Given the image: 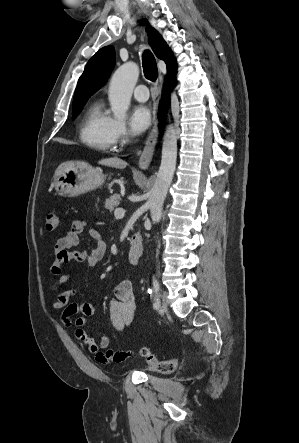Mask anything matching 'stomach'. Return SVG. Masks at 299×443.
I'll return each mask as SVG.
<instances>
[{
	"label": "stomach",
	"mask_w": 299,
	"mask_h": 443,
	"mask_svg": "<svg viewBox=\"0 0 299 443\" xmlns=\"http://www.w3.org/2000/svg\"><path fill=\"white\" fill-rule=\"evenodd\" d=\"M105 175L98 168L82 162L61 164L54 175V188L64 197H75L104 184Z\"/></svg>",
	"instance_id": "1"
}]
</instances>
